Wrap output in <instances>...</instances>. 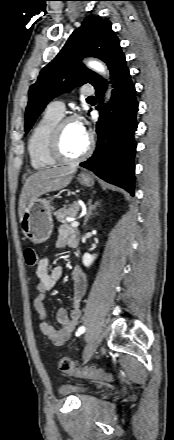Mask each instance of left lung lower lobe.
I'll return each mask as SVG.
<instances>
[{"label": "left lung lower lobe", "mask_w": 174, "mask_h": 440, "mask_svg": "<svg viewBox=\"0 0 174 440\" xmlns=\"http://www.w3.org/2000/svg\"><path fill=\"white\" fill-rule=\"evenodd\" d=\"M113 82L110 103L102 109V97L106 90V80L100 78L94 85L100 100L101 118L97 122L98 144L96 151L80 166L96 173L101 179L120 186L134 195L136 143L134 133L137 129L136 114L138 103L135 87L131 81L123 52H119L108 64ZM108 138V145L103 144Z\"/></svg>", "instance_id": "obj_1"}]
</instances>
